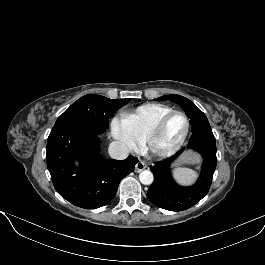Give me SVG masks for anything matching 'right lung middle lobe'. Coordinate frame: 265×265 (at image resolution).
<instances>
[{"mask_svg": "<svg viewBox=\"0 0 265 265\" xmlns=\"http://www.w3.org/2000/svg\"><path fill=\"white\" fill-rule=\"evenodd\" d=\"M126 99H109L101 95L88 94L73 103L63 114H61L55 125L82 121L98 125L103 129L108 126L109 117L119 108L129 102Z\"/></svg>", "mask_w": 265, "mask_h": 265, "instance_id": "obj_1", "label": "right lung middle lobe"}]
</instances>
